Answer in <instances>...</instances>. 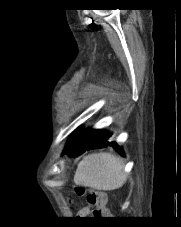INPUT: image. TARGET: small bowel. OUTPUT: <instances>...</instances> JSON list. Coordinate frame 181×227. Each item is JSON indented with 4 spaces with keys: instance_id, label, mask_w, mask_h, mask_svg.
<instances>
[{
    "instance_id": "1",
    "label": "small bowel",
    "mask_w": 181,
    "mask_h": 227,
    "mask_svg": "<svg viewBox=\"0 0 181 227\" xmlns=\"http://www.w3.org/2000/svg\"><path fill=\"white\" fill-rule=\"evenodd\" d=\"M82 211L87 213L89 210L87 208H84Z\"/></svg>"
}]
</instances>
